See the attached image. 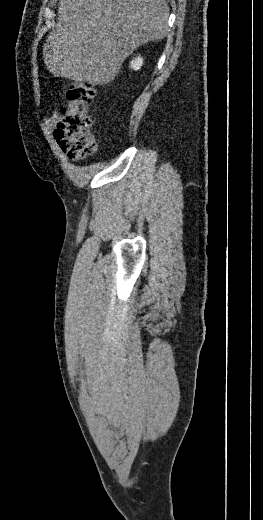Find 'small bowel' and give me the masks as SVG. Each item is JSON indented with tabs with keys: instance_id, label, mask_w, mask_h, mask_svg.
I'll return each instance as SVG.
<instances>
[{
	"instance_id": "1",
	"label": "small bowel",
	"mask_w": 263,
	"mask_h": 520,
	"mask_svg": "<svg viewBox=\"0 0 263 520\" xmlns=\"http://www.w3.org/2000/svg\"><path fill=\"white\" fill-rule=\"evenodd\" d=\"M59 120H60L59 114H55L52 117L48 118L45 121V125H46L47 129L52 130L56 126V124L59 122Z\"/></svg>"
}]
</instances>
